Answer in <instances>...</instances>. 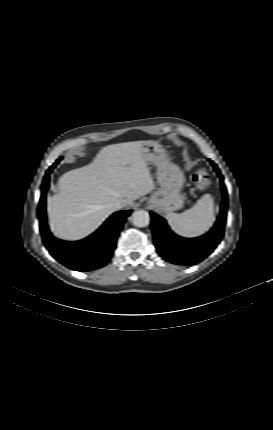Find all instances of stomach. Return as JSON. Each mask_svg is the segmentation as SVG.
Wrapping results in <instances>:
<instances>
[{
    "instance_id": "stomach-1",
    "label": "stomach",
    "mask_w": 273,
    "mask_h": 430,
    "mask_svg": "<svg viewBox=\"0 0 273 430\" xmlns=\"http://www.w3.org/2000/svg\"><path fill=\"white\" fill-rule=\"evenodd\" d=\"M141 151L146 163L157 167L159 188L150 197L149 205L165 213L180 209L184 203L181 190L185 182L181 169L170 162L165 149L156 141H146Z\"/></svg>"
}]
</instances>
